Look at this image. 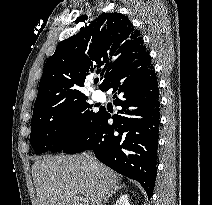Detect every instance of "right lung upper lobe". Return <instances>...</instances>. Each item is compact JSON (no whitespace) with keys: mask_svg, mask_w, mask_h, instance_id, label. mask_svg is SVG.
Instances as JSON below:
<instances>
[{"mask_svg":"<svg viewBox=\"0 0 212 205\" xmlns=\"http://www.w3.org/2000/svg\"><path fill=\"white\" fill-rule=\"evenodd\" d=\"M146 51L140 31L127 16L121 13L99 15L78 34L58 44L44 66L33 110L85 98L80 89L86 77L102 65L105 67L101 72L100 89L104 90L121 68Z\"/></svg>","mask_w":212,"mask_h":205,"instance_id":"obj_1","label":"right lung upper lobe"}]
</instances>
